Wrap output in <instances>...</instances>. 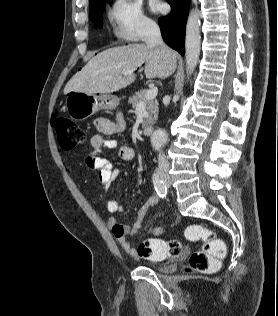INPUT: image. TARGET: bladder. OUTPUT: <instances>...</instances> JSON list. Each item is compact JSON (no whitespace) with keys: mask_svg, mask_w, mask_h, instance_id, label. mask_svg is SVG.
<instances>
[{"mask_svg":"<svg viewBox=\"0 0 278 316\" xmlns=\"http://www.w3.org/2000/svg\"><path fill=\"white\" fill-rule=\"evenodd\" d=\"M145 266L154 271L164 272V273L170 272L173 269L172 264L146 263Z\"/></svg>","mask_w":278,"mask_h":316,"instance_id":"31cf9c89","label":"bladder"}]
</instances>
